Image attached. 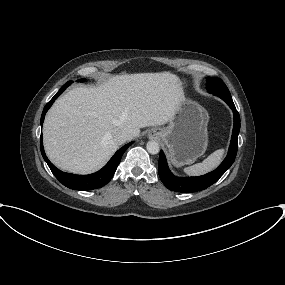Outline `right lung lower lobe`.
<instances>
[{
  "instance_id": "1",
  "label": "right lung lower lobe",
  "mask_w": 285,
  "mask_h": 285,
  "mask_svg": "<svg viewBox=\"0 0 285 285\" xmlns=\"http://www.w3.org/2000/svg\"><path fill=\"white\" fill-rule=\"evenodd\" d=\"M70 84L67 82L62 86V88L56 93V95L46 104L42 116H41V125L43 124L45 114L47 110L51 107L55 99L66 89ZM133 144V141L124 145L121 149H119L114 156L110 159V161L98 172L90 174V175H75L70 173H65L57 169L46 157L42 138L40 141V150L44 160L47 162L49 168L55 177L66 187L73 190H92L100 188L106 185L111 178L113 177L123 153L127 150V148Z\"/></svg>"
}]
</instances>
